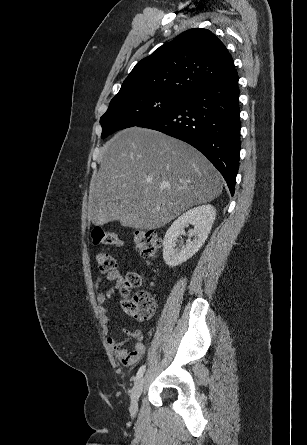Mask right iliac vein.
Wrapping results in <instances>:
<instances>
[{"label": "right iliac vein", "mask_w": 307, "mask_h": 445, "mask_svg": "<svg viewBox=\"0 0 307 445\" xmlns=\"http://www.w3.org/2000/svg\"><path fill=\"white\" fill-rule=\"evenodd\" d=\"M145 379L144 377H140L134 384L132 388V394H131V406H130V413L132 416L136 415L138 411V400L139 397L143 391Z\"/></svg>", "instance_id": "63e3f726"}]
</instances>
